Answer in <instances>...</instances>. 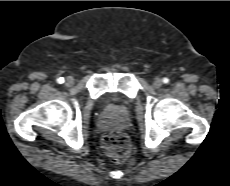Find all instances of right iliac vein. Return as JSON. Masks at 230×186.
<instances>
[{
	"mask_svg": "<svg viewBox=\"0 0 230 186\" xmlns=\"http://www.w3.org/2000/svg\"><path fill=\"white\" fill-rule=\"evenodd\" d=\"M74 82H75V79L73 77L69 76L65 80V85L70 87L74 84Z\"/></svg>",
	"mask_w": 230,
	"mask_h": 186,
	"instance_id": "obj_1",
	"label": "right iliac vein"
}]
</instances>
